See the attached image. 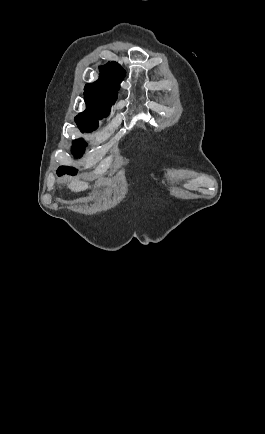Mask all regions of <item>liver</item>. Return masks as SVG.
Masks as SVG:
<instances>
[{
	"label": "liver",
	"mask_w": 265,
	"mask_h": 434,
	"mask_svg": "<svg viewBox=\"0 0 265 434\" xmlns=\"http://www.w3.org/2000/svg\"><path fill=\"white\" fill-rule=\"evenodd\" d=\"M67 186L71 192H83V190H87L89 184L87 182H80V180H71Z\"/></svg>",
	"instance_id": "6515ba94"
}]
</instances>
